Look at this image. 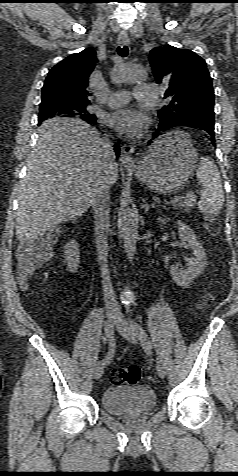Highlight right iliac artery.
Here are the masks:
<instances>
[{
	"instance_id": "obj_1",
	"label": "right iliac artery",
	"mask_w": 238,
	"mask_h": 476,
	"mask_svg": "<svg viewBox=\"0 0 238 476\" xmlns=\"http://www.w3.org/2000/svg\"><path fill=\"white\" fill-rule=\"evenodd\" d=\"M105 332H106V335L108 336L107 337V343L109 344V350H108V354L105 356V358H103L98 363V366H103V367L110 363V361L112 360V358L114 356V352H115V343L113 342L115 340V337H114L115 332H114V330H112L110 327H107L106 325H105Z\"/></svg>"
}]
</instances>
